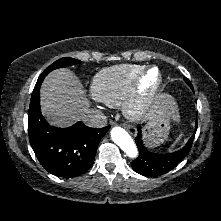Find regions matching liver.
Returning a JSON list of instances; mask_svg holds the SVG:
<instances>
[{
	"label": "liver",
	"mask_w": 221,
	"mask_h": 221,
	"mask_svg": "<svg viewBox=\"0 0 221 221\" xmlns=\"http://www.w3.org/2000/svg\"><path fill=\"white\" fill-rule=\"evenodd\" d=\"M40 105L49 121L65 127L80 120L90 104L78 77L71 70L60 68L44 79L40 89ZM165 111L179 121L178 107L173 98L166 104Z\"/></svg>",
	"instance_id": "obj_1"
}]
</instances>
